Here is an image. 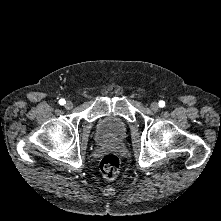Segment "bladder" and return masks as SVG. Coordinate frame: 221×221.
<instances>
[{
    "label": "bladder",
    "mask_w": 221,
    "mask_h": 221,
    "mask_svg": "<svg viewBox=\"0 0 221 221\" xmlns=\"http://www.w3.org/2000/svg\"><path fill=\"white\" fill-rule=\"evenodd\" d=\"M126 124L113 116L102 118L97 125V139L100 143L122 141L127 135Z\"/></svg>",
    "instance_id": "31cf9c89"
}]
</instances>
